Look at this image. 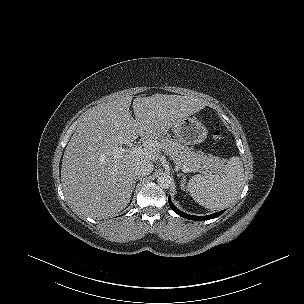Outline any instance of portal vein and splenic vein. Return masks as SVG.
<instances>
[{
	"mask_svg": "<svg viewBox=\"0 0 304 304\" xmlns=\"http://www.w3.org/2000/svg\"><path fill=\"white\" fill-rule=\"evenodd\" d=\"M125 149L124 148H122V147H119V148H117L116 149V151H118V152H123ZM127 151H133V152H140L142 149H141V147H137V146H135V147H131V148H129V149H126ZM181 170L184 172V173H188V172H193V170L192 169H190V168H188V167H186V166H183L182 168H181Z\"/></svg>",
	"mask_w": 304,
	"mask_h": 304,
	"instance_id": "portal-vein-and-splenic-vein-1",
	"label": "portal vein and splenic vein"
}]
</instances>
